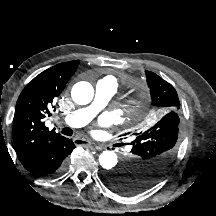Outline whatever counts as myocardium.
I'll use <instances>...</instances> for the list:
<instances>
[{
	"mask_svg": "<svg viewBox=\"0 0 216 216\" xmlns=\"http://www.w3.org/2000/svg\"><path fill=\"white\" fill-rule=\"evenodd\" d=\"M145 107V100L143 94H137L130 98L126 104L128 116H140Z\"/></svg>",
	"mask_w": 216,
	"mask_h": 216,
	"instance_id": "1",
	"label": "myocardium"
}]
</instances>
